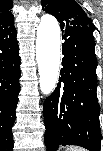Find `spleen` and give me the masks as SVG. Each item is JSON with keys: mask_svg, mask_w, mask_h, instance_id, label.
I'll list each match as a JSON object with an SVG mask.
<instances>
[{"mask_svg": "<svg viewBox=\"0 0 103 151\" xmlns=\"http://www.w3.org/2000/svg\"><path fill=\"white\" fill-rule=\"evenodd\" d=\"M66 151H87L86 149H84V148H81V147H77V146H71V147H69V148H67V150Z\"/></svg>", "mask_w": 103, "mask_h": 151, "instance_id": "3e777b00", "label": "spleen"}]
</instances>
